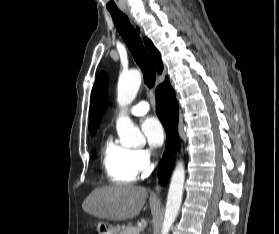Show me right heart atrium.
<instances>
[{"label": "right heart atrium", "instance_id": "d8ad5b80", "mask_svg": "<svg viewBox=\"0 0 279 234\" xmlns=\"http://www.w3.org/2000/svg\"><path fill=\"white\" fill-rule=\"evenodd\" d=\"M135 161L139 171H146L152 163V156L147 149L135 150Z\"/></svg>", "mask_w": 279, "mask_h": 234}]
</instances>
